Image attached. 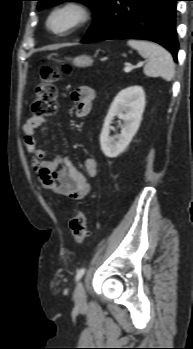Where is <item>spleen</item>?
Segmentation results:
<instances>
[{
  "instance_id": "1",
  "label": "spleen",
  "mask_w": 193,
  "mask_h": 349,
  "mask_svg": "<svg viewBox=\"0 0 193 349\" xmlns=\"http://www.w3.org/2000/svg\"><path fill=\"white\" fill-rule=\"evenodd\" d=\"M128 45L136 49L142 57L148 58L144 73L149 77H161L171 81L175 75V64L172 55L156 43L130 39Z\"/></svg>"
}]
</instances>
